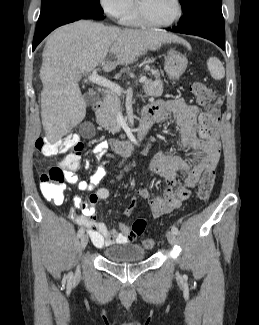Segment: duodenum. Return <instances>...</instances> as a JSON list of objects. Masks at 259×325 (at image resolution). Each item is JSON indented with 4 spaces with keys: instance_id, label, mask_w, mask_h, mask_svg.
<instances>
[{
    "instance_id": "obj_1",
    "label": "duodenum",
    "mask_w": 259,
    "mask_h": 325,
    "mask_svg": "<svg viewBox=\"0 0 259 325\" xmlns=\"http://www.w3.org/2000/svg\"><path fill=\"white\" fill-rule=\"evenodd\" d=\"M102 106V101L99 99L93 104V109L95 111L99 110ZM154 124L153 118L146 113H143L140 125L138 128L137 137L135 140H117L112 139L109 141V146L113 151L116 153H120L123 155L130 154L133 150L140 147L144 144L149 130L151 129L152 125Z\"/></svg>"
}]
</instances>
